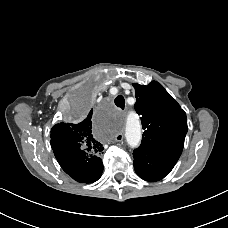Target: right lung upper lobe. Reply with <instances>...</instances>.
<instances>
[{
	"label": "right lung upper lobe",
	"instance_id": "cb5924a9",
	"mask_svg": "<svg viewBox=\"0 0 228 228\" xmlns=\"http://www.w3.org/2000/svg\"><path fill=\"white\" fill-rule=\"evenodd\" d=\"M51 147L56 159L75 155L78 170L88 171L92 163L84 160L90 156H97L103 151L102 144L92 134V110L79 123L56 124L51 130Z\"/></svg>",
	"mask_w": 228,
	"mask_h": 228
}]
</instances>
